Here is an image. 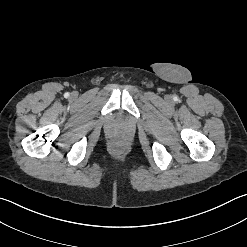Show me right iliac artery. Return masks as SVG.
<instances>
[{"mask_svg": "<svg viewBox=\"0 0 247 247\" xmlns=\"http://www.w3.org/2000/svg\"><path fill=\"white\" fill-rule=\"evenodd\" d=\"M66 96H69V94H68V93H66Z\"/></svg>", "mask_w": 247, "mask_h": 247, "instance_id": "82829eb1", "label": "right iliac artery"}]
</instances>
